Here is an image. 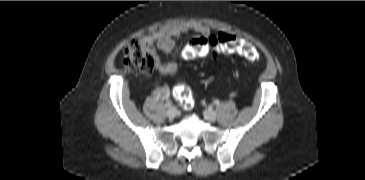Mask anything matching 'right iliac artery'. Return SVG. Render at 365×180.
I'll return each mask as SVG.
<instances>
[{
    "mask_svg": "<svg viewBox=\"0 0 365 180\" xmlns=\"http://www.w3.org/2000/svg\"><path fill=\"white\" fill-rule=\"evenodd\" d=\"M172 105L171 101H166L165 106L170 107Z\"/></svg>",
    "mask_w": 365,
    "mask_h": 180,
    "instance_id": "obj_1",
    "label": "right iliac artery"
}]
</instances>
